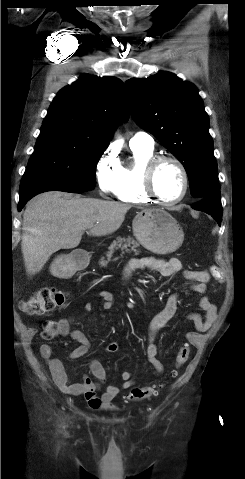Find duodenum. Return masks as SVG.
<instances>
[{"label":"duodenum","instance_id":"duodenum-1","mask_svg":"<svg viewBox=\"0 0 245 479\" xmlns=\"http://www.w3.org/2000/svg\"><path fill=\"white\" fill-rule=\"evenodd\" d=\"M73 260L75 262L76 267L78 269H82L86 266L88 258L86 254H81L80 256H73Z\"/></svg>","mask_w":245,"mask_h":479}]
</instances>
